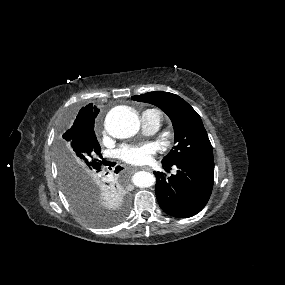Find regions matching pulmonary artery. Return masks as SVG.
<instances>
[{"label": "pulmonary artery", "instance_id": "pulmonary-artery-1", "mask_svg": "<svg viewBox=\"0 0 285 285\" xmlns=\"http://www.w3.org/2000/svg\"><path fill=\"white\" fill-rule=\"evenodd\" d=\"M141 120L144 131L153 134L161 126V113L157 110H147L143 112Z\"/></svg>", "mask_w": 285, "mask_h": 285}]
</instances>
